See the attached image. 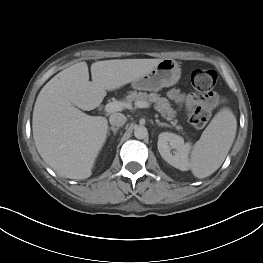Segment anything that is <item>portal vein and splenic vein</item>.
Listing matches in <instances>:
<instances>
[{
	"mask_svg": "<svg viewBox=\"0 0 263 263\" xmlns=\"http://www.w3.org/2000/svg\"><path fill=\"white\" fill-rule=\"evenodd\" d=\"M135 105L138 108H149L150 107V104L146 101H137ZM127 107H128V104L126 103H123L120 101H114V102H110L105 105V111L108 113H112V112L120 111L123 108H127Z\"/></svg>",
	"mask_w": 263,
	"mask_h": 263,
	"instance_id": "18ae733b",
	"label": "portal vein and splenic vein"
}]
</instances>
